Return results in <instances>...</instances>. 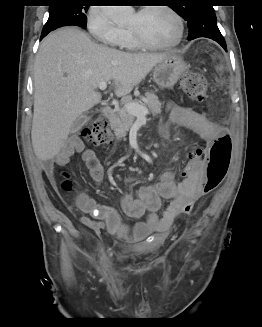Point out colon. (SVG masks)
<instances>
[{"label": "colon", "instance_id": "obj_1", "mask_svg": "<svg viewBox=\"0 0 262 327\" xmlns=\"http://www.w3.org/2000/svg\"><path fill=\"white\" fill-rule=\"evenodd\" d=\"M180 88L192 100L202 102L207 98L208 83L198 72H188L180 80ZM85 142L102 146L111 142L112 133L105 115H98L92 125L82 132ZM202 150L196 148L195 150ZM205 180L198 194L189 197L181 210L189 214L195 204L205 195L216 189L224 180L231 159V137L226 130H221L214 143L205 150ZM64 189L70 188V182L64 181Z\"/></svg>", "mask_w": 262, "mask_h": 327}]
</instances>
